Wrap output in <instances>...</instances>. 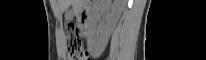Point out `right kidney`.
<instances>
[{
    "mask_svg": "<svg viewBox=\"0 0 206 60\" xmlns=\"http://www.w3.org/2000/svg\"><path fill=\"white\" fill-rule=\"evenodd\" d=\"M108 11V18L105 25H97L99 21V12ZM120 3L112 0H103L102 2L97 3L94 9L91 27H90V42L99 49H104L110 34L115 27L118 18L121 14ZM100 31V36L95 37V33Z\"/></svg>",
    "mask_w": 206,
    "mask_h": 60,
    "instance_id": "right-kidney-1",
    "label": "right kidney"
}]
</instances>
